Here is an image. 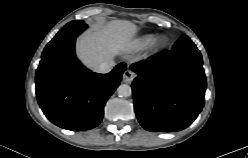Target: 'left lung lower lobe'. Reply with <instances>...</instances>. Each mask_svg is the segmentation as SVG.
<instances>
[{
    "mask_svg": "<svg viewBox=\"0 0 248 158\" xmlns=\"http://www.w3.org/2000/svg\"><path fill=\"white\" fill-rule=\"evenodd\" d=\"M138 121L148 131L172 132L188 127L204 106L206 77L195 44L182 36L172 50L130 67Z\"/></svg>",
    "mask_w": 248,
    "mask_h": 158,
    "instance_id": "1",
    "label": "left lung lower lobe"
}]
</instances>
